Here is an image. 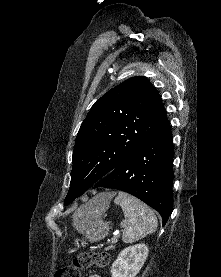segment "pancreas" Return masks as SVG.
I'll return each instance as SVG.
<instances>
[{"label":"pancreas","instance_id":"obj_1","mask_svg":"<svg viewBox=\"0 0 221 277\" xmlns=\"http://www.w3.org/2000/svg\"><path fill=\"white\" fill-rule=\"evenodd\" d=\"M111 247H108V248H106L105 250L107 251V250H109Z\"/></svg>","mask_w":221,"mask_h":277}]
</instances>
